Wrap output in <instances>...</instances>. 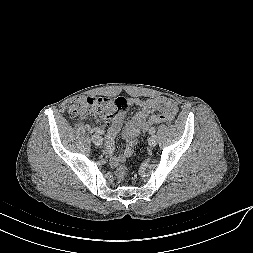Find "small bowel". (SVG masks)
<instances>
[{
	"mask_svg": "<svg viewBox=\"0 0 253 253\" xmlns=\"http://www.w3.org/2000/svg\"><path fill=\"white\" fill-rule=\"evenodd\" d=\"M128 104L136 107L137 112L132 120L125 124L122 136L126 141V146L120 154L116 156L113 155L115 147L114 138L123 126L125 113L116 117L111 125H109L106 132L104 152L109 156V162L112 167L118 166L131 156L134 150L137 135L144 129L152 118L162 115L175 116L178 112L177 103L164 96H157L148 99L131 98L128 100ZM154 112H158V114L149 117Z\"/></svg>",
	"mask_w": 253,
	"mask_h": 253,
	"instance_id": "1",
	"label": "small bowel"
}]
</instances>
